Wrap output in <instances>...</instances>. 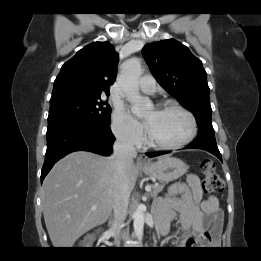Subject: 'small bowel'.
<instances>
[{
  "label": "small bowel",
  "instance_id": "small-bowel-1",
  "mask_svg": "<svg viewBox=\"0 0 261 261\" xmlns=\"http://www.w3.org/2000/svg\"><path fill=\"white\" fill-rule=\"evenodd\" d=\"M180 214V223L185 231L182 242H189L193 236L210 233L216 244L222 230V213L218 199L214 196L203 198V190L197 176L188 175L186 183L171 186L169 195L159 202L158 228L169 230L174 213Z\"/></svg>",
  "mask_w": 261,
  "mask_h": 261
}]
</instances>
